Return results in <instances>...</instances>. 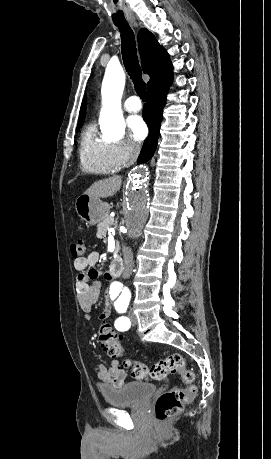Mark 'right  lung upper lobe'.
Masks as SVG:
<instances>
[{
    "instance_id": "1",
    "label": "right lung upper lobe",
    "mask_w": 271,
    "mask_h": 459,
    "mask_svg": "<svg viewBox=\"0 0 271 459\" xmlns=\"http://www.w3.org/2000/svg\"><path fill=\"white\" fill-rule=\"evenodd\" d=\"M138 45L143 71L150 76V81L147 83L148 89L161 78L171 74L173 67L168 53L158 43L155 36L145 28L140 29L138 33ZM85 113L86 98H84L81 105L79 120H84Z\"/></svg>"
}]
</instances>
